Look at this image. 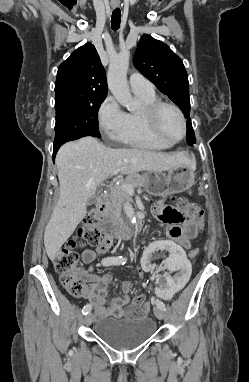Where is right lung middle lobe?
<instances>
[{"label":"right lung middle lobe","instance_id":"obj_1","mask_svg":"<svg viewBox=\"0 0 249 382\" xmlns=\"http://www.w3.org/2000/svg\"><path fill=\"white\" fill-rule=\"evenodd\" d=\"M104 99L99 98L55 107L54 144L83 136L101 137L98 131L97 111Z\"/></svg>","mask_w":249,"mask_h":382}]
</instances>
